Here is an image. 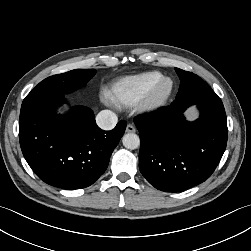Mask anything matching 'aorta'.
Listing matches in <instances>:
<instances>
[{
  "label": "aorta",
  "mask_w": 251,
  "mask_h": 251,
  "mask_svg": "<svg viewBox=\"0 0 251 251\" xmlns=\"http://www.w3.org/2000/svg\"><path fill=\"white\" fill-rule=\"evenodd\" d=\"M125 148L134 150L140 146L139 136L134 133H128L123 136L122 139Z\"/></svg>",
  "instance_id": "obj_1"
}]
</instances>
